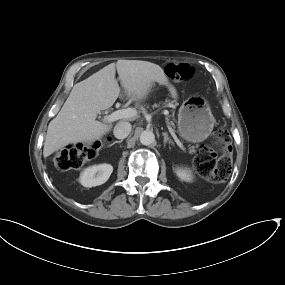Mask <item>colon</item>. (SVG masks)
Masks as SVG:
<instances>
[{"instance_id":"colon-1","label":"colon","mask_w":285,"mask_h":285,"mask_svg":"<svg viewBox=\"0 0 285 285\" xmlns=\"http://www.w3.org/2000/svg\"><path fill=\"white\" fill-rule=\"evenodd\" d=\"M166 69L172 78L180 81H187L193 76V68L188 64L170 63ZM89 151V147L85 146L63 148L54 156L55 166L63 171L79 169L84 164ZM194 166L197 173L204 179L222 182L228 178L232 167L231 144L224 127L215 130L211 146H202L198 150Z\"/></svg>"}]
</instances>
